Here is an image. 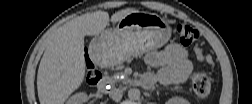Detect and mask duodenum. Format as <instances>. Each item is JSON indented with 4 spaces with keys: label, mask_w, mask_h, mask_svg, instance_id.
<instances>
[{
    "label": "duodenum",
    "mask_w": 252,
    "mask_h": 104,
    "mask_svg": "<svg viewBox=\"0 0 252 104\" xmlns=\"http://www.w3.org/2000/svg\"><path fill=\"white\" fill-rule=\"evenodd\" d=\"M140 83L143 85V86H146V87H149L151 86V82L150 80L146 79V78H142L140 80ZM108 85H109V80L108 78L106 77H103L101 78L99 81H98V84H97V88L99 91L103 92V93H106L108 91Z\"/></svg>",
    "instance_id": "1"
}]
</instances>
